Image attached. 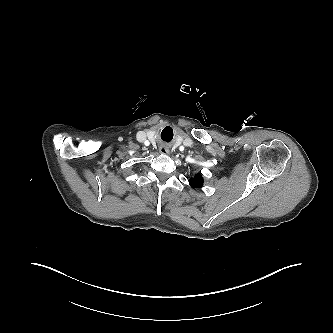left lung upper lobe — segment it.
<instances>
[{"label":"left lung upper lobe","mask_w":333,"mask_h":333,"mask_svg":"<svg viewBox=\"0 0 333 333\" xmlns=\"http://www.w3.org/2000/svg\"><path fill=\"white\" fill-rule=\"evenodd\" d=\"M189 184L194 188L201 187L203 184V178L201 174H196L194 178H190Z\"/></svg>","instance_id":"obj_1"}]
</instances>
